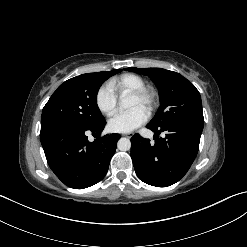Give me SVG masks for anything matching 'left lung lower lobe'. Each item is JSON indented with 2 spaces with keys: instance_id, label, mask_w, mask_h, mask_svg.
<instances>
[{
  "instance_id": "1",
  "label": "left lung lower lobe",
  "mask_w": 247,
  "mask_h": 247,
  "mask_svg": "<svg viewBox=\"0 0 247 247\" xmlns=\"http://www.w3.org/2000/svg\"><path fill=\"white\" fill-rule=\"evenodd\" d=\"M155 143L135 134L131 157L138 178L146 184L167 187L179 181L191 167L199 149L203 124L179 119L166 126L147 124ZM165 132V138L159 137Z\"/></svg>"
}]
</instances>
